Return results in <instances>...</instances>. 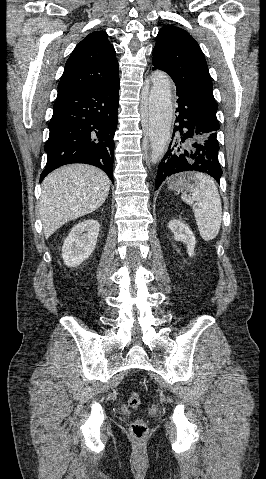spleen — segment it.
<instances>
[{
  "mask_svg": "<svg viewBox=\"0 0 266 479\" xmlns=\"http://www.w3.org/2000/svg\"><path fill=\"white\" fill-rule=\"evenodd\" d=\"M194 178L198 181L197 185L189 188L190 196H187L185 192L181 195V199L192 206L201 238L210 241L217 237L221 227L220 195L210 176L204 173H195Z\"/></svg>",
  "mask_w": 266,
  "mask_h": 479,
  "instance_id": "3e777b00",
  "label": "spleen"
}]
</instances>
